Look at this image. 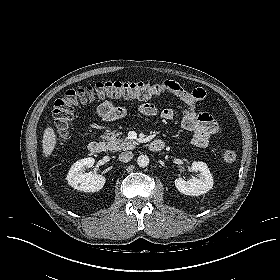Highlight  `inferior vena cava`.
I'll list each match as a JSON object with an SVG mask.
<instances>
[{"label": "inferior vena cava", "instance_id": "obj_1", "mask_svg": "<svg viewBox=\"0 0 280 280\" xmlns=\"http://www.w3.org/2000/svg\"><path fill=\"white\" fill-rule=\"evenodd\" d=\"M133 153L131 151L122 152L119 154V160L121 162H129L133 158Z\"/></svg>", "mask_w": 280, "mask_h": 280}]
</instances>
